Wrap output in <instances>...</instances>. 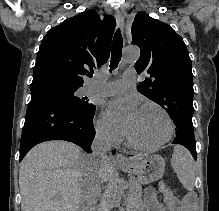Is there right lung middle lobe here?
<instances>
[{
    "instance_id": "1",
    "label": "right lung middle lobe",
    "mask_w": 219,
    "mask_h": 211,
    "mask_svg": "<svg viewBox=\"0 0 219 211\" xmlns=\"http://www.w3.org/2000/svg\"><path fill=\"white\" fill-rule=\"evenodd\" d=\"M77 89V87L53 84L40 88L39 90H47L56 93L57 95L62 97L69 105L77 110L90 111L94 109L95 106L92 103H89L87 98L80 99L79 97H76L74 95Z\"/></svg>"
}]
</instances>
